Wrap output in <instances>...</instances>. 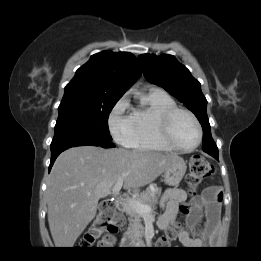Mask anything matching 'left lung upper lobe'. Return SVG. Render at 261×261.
<instances>
[{
    "instance_id": "left-lung-upper-lobe-1",
    "label": "left lung upper lobe",
    "mask_w": 261,
    "mask_h": 261,
    "mask_svg": "<svg viewBox=\"0 0 261 261\" xmlns=\"http://www.w3.org/2000/svg\"><path fill=\"white\" fill-rule=\"evenodd\" d=\"M138 59L150 83L163 87L196 115L203 128V150L218 153L207 117V100L189 70L172 55L144 54Z\"/></svg>"
}]
</instances>
